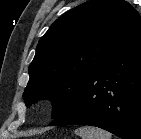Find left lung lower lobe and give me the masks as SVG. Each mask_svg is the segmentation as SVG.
I'll use <instances>...</instances> for the list:
<instances>
[{"label":"left lung lower lobe","mask_w":141,"mask_h":139,"mask_svg":"<svg viewBox=\"0 0 141 139\" xmlns=\"http://www.w3.org/2000/svg\"><path fill=\"white\" fill-rule=\"evenodd\" d=\"M92 125L123 139H141V31L85 79L50 126Z\"/></svg>","instance_id":"left-lung-lower-lobe-1"}]
</instances>
